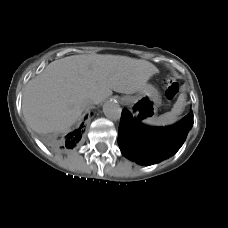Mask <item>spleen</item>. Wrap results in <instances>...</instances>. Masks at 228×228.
I'll return each mask as SVG.
<instances>
[{
    "label": "spleen",
    "instance_id": "1",
    "mask_svg": "<svg viewBox=\"0 0 228 228\" xmlns=\"http://www.w3.org/2000/svg\"><path fill=\"white\" fill-rule=\"evenodd\" d=\"M185 100L186 95L180 94L170 112H166L159 117H154L149 120L148 123L153 125H167L174 123L177 120L178 115L181 114V112L183 111Z\"/></svg>",
    "mask_w": 228,
    "mask_h": 228
}]
</instances>
